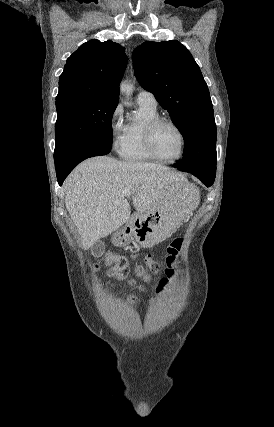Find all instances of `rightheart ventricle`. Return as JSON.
Instances as JSON below:
<instances>
[{
  "instance_id": "e07e8e85",
  "label": "right heart ventricle",
  "mask_w": 274,
  "mask_h": 427,
  "mask_svg": "<svg viewBox=\"0 0 274 427\" xmlns=\"http://www.w3.org/2000/svg\"><path fill=\"white\" fill-rule=\"evenodd\" d=\"M158 117L157 109L139 106L136 119L129 120L125 125L124 133L118 146L120 158L130 162H155L148 153L144 142V132L147 124Z\"/></svg>"
}]
</instances>
